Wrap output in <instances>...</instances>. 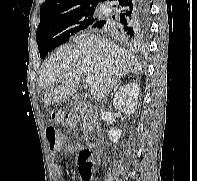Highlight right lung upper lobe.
<instances>
[{"mask_svg":"<svg viewBox=\"0 0 197 181\" xmlns=\"http://www.w3.org/2000/svg\"><path fill=\"white\" fill-rule=\"evenodd\" d=\"M105 0H46L40 9V20L57 16L71 10L97 5Z\"/></svg>","mask_w":197,"mask_h":181,"instance_id":"obj_1","label":"right lung upper lobe"}]
</instances>
